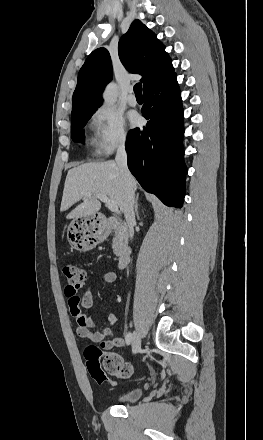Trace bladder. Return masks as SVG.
Wrapping results in <instances>:
<instances>
[{"label":"bladder","mask_w":263,"mask_h":440,"mask_svg":"<svg viewBox=\"0 0 263 440\" xmlns=\"http://www.w3.org/2000/svg\"><path fill=\"white\" fill-rule=\"evenodd\" d=\"M143 394V389L140 387L132 388L125 393H123L121 396H119V400L122 402H134L137 401Z\"/></svg>","instance_id":"bladder-1"}]
</instances>
